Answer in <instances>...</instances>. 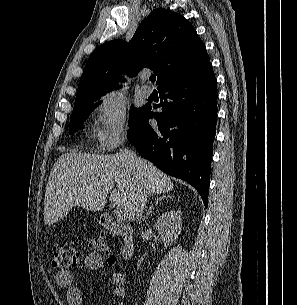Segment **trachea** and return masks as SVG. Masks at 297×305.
Instances as JSON below:
<instances>
[{"label":"trachea","mask_w":297,"mask_h":305,"mask_svg":"<svg viewBox=\"0 0 297 305\" xmlns=\"http://www.w3.org/2000/svg\"><path fill=\"white\" fill-rule=\"evenodd\" d=\"M149 79H150L151 82H154L156 80V76L155 75H151Z\"/></svg>","instance_id":"trachea-1"}]
</instances>
